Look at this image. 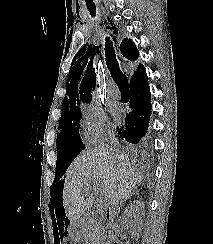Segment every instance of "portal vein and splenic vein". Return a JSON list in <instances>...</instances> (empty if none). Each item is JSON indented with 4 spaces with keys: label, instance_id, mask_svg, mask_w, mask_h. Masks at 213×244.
I'll return each mask as SVG.
<instances>
[{
    "label": "portal vein and splenic vein",
    "instance_id": "18ae733b",
    "mask_svg": "<svg viewBox=\"0 0 213 244\" xmlns=\"http://www.w3.org/2000/svg\"><path fill=\"white\" fill-rule=\"evenodd\" d=\"M96 185H98V183H96L94 186H95V188H96ZM97 189H100V188H97Z\"/></svg>",
    "mask_w": 213,
    "mask_h": 244
}]
</instances>
